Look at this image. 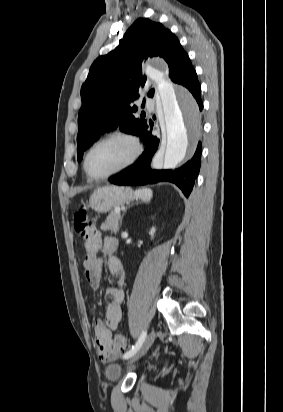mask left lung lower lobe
<instances>
[{
	"label": "left lung lower lobe",
	"mask_w": 283,
	"mask_h": 412,
	"mask_svg": "<svg viewBox=\"0 0 283 412\" xmlns=\"http://www.w3.org/2000/svg\"><path fill=\"white\" fill-rule=\"evenodd\" d=\"M177 83L185 86L192 93L200 110H202L201 87L195 70H191L185 77L179 79ZM151 132L152 128L148 125L139 134L144 142L145 151L138 161L120 173L111 176L109 181L116 185H146L158 182H171L177 185L183 194L188 197L200 169L201 143L198 144L193 158L180 168L175 170H151L150 162L159 145V139L153 136Z\"/></svg>",
	"instance_id": "obj_1"
}]
</instances>
